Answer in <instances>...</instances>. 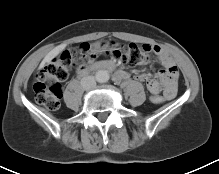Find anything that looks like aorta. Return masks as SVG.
Listing matches in <instances>:
<instances>
[{"label":"aorta","mask_w":219,"mask_h":174,"mask_svg":"<svg viewBox=\"0 0 219 174\" xmlns=\"http://www.w3.org/2000/svg\"><path fill=\"white\" fill-rule=\"evenodd\" d=\"M110 79V74L107 70H99L96 73V80L100 83H105Z\"/></svg>","instance_id":"obj_1"}]
</instances>
